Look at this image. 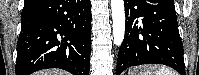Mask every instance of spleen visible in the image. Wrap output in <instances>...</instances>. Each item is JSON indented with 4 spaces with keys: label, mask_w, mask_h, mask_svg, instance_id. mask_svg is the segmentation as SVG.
Instances as JSON below:
<instances>
[{
    "label": "spleen",
    "mask_w": 199,
    "mask_h": 75,
    "mask_svg": "<svg viewBox=\"0 0 199 75\" xmlns=\"http://www.w3.org/2000/svg\"><path fill=\"white\" fill-rule=\"evenodd\" d=\"M140 75H177V73L168 67H146L144 68Z\"/></svg>",
    "instance_id": "obj_1"
}]
</instances>
